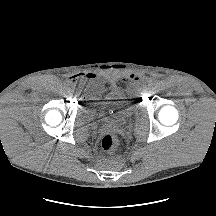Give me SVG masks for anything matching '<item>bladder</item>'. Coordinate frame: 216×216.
<instances>
[{"instance_id":"bladder-1","label":"bladder","mask_w":216,"mask_h":216,"mask_svg":"<svg viewBox=\"0 0 216 216\" xmlns=\"http://www.w3.org/2000/svg\"><path fill=\"white\" fill-rule=\"evenodd\" d=\"M83 94L86 99L82 104V111L90 119L115 125L122 119L131 117L137 111L135 102L124 92L113 87L95 90L89 87L83 91Z\"/></svg>"}]
</instances>
